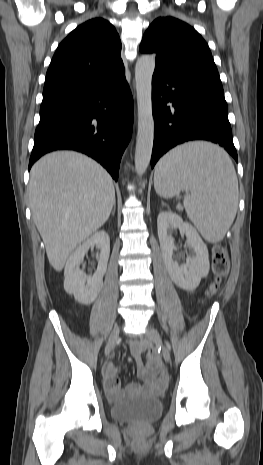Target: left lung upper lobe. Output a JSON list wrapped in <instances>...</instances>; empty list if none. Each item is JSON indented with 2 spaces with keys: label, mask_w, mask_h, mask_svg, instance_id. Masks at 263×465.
Listing matches in <instances>:
<instances>
[{
  "label": "left lung upper lobe",
  "mask_w": 263,
  "mask_h": 465,
  "mask_svg": "<svg viewBox=\"0 0 263 465\" xmlns=\"http://www.w3.org/2000/svg\"><path fill=\"white\" fill-rule=\"evenodd\" d=\"M140 51L156 53V66L192 72L220 81L210 49L201 35L174 17L157 18L145 32Z\"/></svg>",
  "instance_id": "5c2ea615"
}]
</instances>
